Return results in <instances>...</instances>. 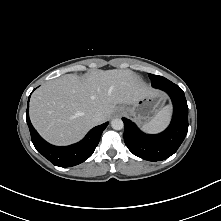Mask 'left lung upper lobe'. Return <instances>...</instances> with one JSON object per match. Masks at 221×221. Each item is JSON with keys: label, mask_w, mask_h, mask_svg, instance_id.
<instances>
[{"label": "left lung upper lobe", "mask_w": 221, "mask_h": 221, "mask_svg": "<svg viewBox=\"0 0 221 221\" xmlns=\"http://www.w3.org/2000/svg\"><path fill=\"white\" fill-rule=\"evenodd\" d=\"M149 78L151 79V83L154 88H159L164 85L172 84L171 81L162 76L149 74Z\"/></svg>", "instance_id": "left-lung-upper-lobe-1"}]
</instances>
